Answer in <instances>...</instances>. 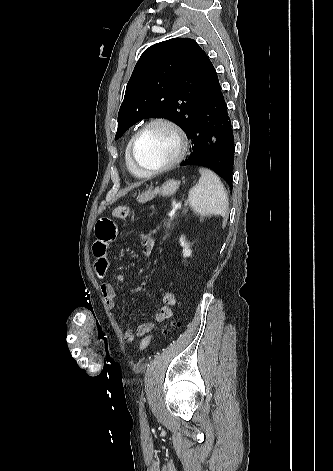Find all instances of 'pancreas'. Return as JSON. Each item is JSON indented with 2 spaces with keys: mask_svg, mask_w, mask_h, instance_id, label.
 <instances>
[{
  "mask_svg": "<svg viewBox=\"0 0 333 471\" xmlns=\"http://www.w3.org/2000/svg\"><path fill=\"white\" fill-rule=\"evenodd\" d=\"M182 213L185 215L187 213V210L186 209H183L182 210ZM178 217V214H174L173 216L169 217V218H165L162 220V227L166 230H171L173 229L174 227V220L175 218Z\"/></svg>",
  "mask_w": 333,
  "mask_h": 471,
  "instance_id": "cf45deb5",
  "label": "pancreas"
}]
</instances>
